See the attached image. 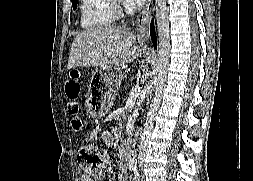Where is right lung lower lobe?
<instances>
[{
	"label": "right lung lower lobe",
	"instance_id": "1",
	"mask_svg": "<svg viewBox=\"0 0 253 181\" xmlns=\"http://www.w3.org/2000/svg\"><path fill=\"white\" fill-rule=\"evenodd\" d=\"M151 39L154 45V48L157 47V41H156V36H155V31H154V25L151 23V31H150Z\"/></svg>",
	"mask_w": 253,
	"mask_h": 181
}]
</instances>
